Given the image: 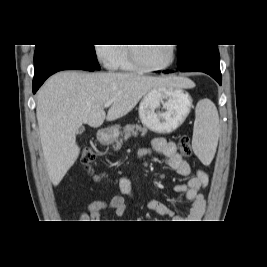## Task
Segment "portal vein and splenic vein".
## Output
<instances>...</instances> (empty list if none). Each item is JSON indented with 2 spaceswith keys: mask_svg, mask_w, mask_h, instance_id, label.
Listing matches in <instances>:
<instances>
[{
  "mask_svg": "<svg viewBox=\"0 0 267 267\" xmlns=\"http://www.w3.org/2000/svg\"><path fill=\"white\" fill-rule=\"evenodd\" d=\"M113 103V101H107L105 104H104V107L105 108H108L111 106V104Z\"/></svg>",
  "mask_w": 267,
  "mask_h": 267,
  "instance_id": "18ae733b",
  "label": "portal vein and splenic vein"
}]
</instances>
